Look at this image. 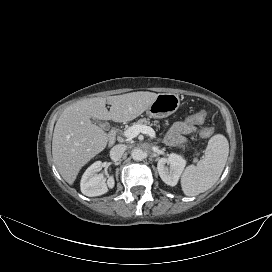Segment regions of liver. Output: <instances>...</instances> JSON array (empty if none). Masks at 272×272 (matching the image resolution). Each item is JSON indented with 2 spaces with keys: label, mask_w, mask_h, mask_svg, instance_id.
<instances>
[{
  "label": "liver",
  "mask_w": 272,
  "mask_h": 272,
  "mask_svg": "<svg viewBox=\"0 0 272 272\" xmlns=\"http://www.w3.org/2000/svg\"><path fill=\"white\" fill-rule=\"evenodd\" d=\"M158 94L131 92L106 98L95 97L73 103L58 118L52 140L54 163L63 179L72 185L80 171L108 143V135L91 118L128 122L146 111ZM111 105L110 110L105 104Z\"/></svg>",
  "instance_id": "6515ba94"
}]
</instances>
